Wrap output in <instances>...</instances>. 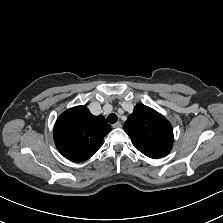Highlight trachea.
Masks as SVG:
<instances>
[{
    "label": "trachea",
    "mask_w": 223,
    "mask_h": 223,
    "mask_svg": "<svg viewBox=\"0 0 223 223\" xmlns=\"http://www.w3.org/2000/svg\"><path fill=\"white\" fill-rule=\"evenodd\" d=\"M107 121L111 124L116 123L117 122V115L115 113H112V114L108 115Z\"/></svg>",
    "instance_id": "1"
}]
</instances>
